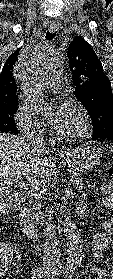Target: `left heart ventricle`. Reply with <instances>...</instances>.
<instances>
[{
	"label": "left heart ventricle",
	"mask_w": 113,
	"mask_h": 279,
	"mask_svg": "<svg viewBox=\"0 0 113 279\" xmlns=\"http://www.w3.org/2000/svg\"><path fill=\"white\" fill-rule=\"evenodd\" d=\"M48 116L50 120L52 119L53 113L50 110ZM79 128V116L75 109L71 106H67L66 114L64 120L57 128L58 133L60 134H71L78 130Z\"/></svg>",
	"instance_id": "1"
}]
</instances>
